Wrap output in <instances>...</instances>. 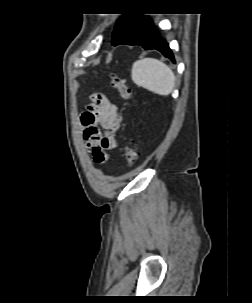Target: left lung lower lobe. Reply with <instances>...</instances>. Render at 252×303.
<instances>
[{
  "mask_svg": "<svg viewBox=\"0 0 252 303\" xmlns=\"http://www.w3.org/2000/svg\"><path fill=\"white\" fill-rule=\"evenodd\" d=\"M119 44L139 45L146 50H158L172 62H175L168 44L154 31V25L148 17H144L135 28L116 45Z\"/></svg>",
  "mask_w": 252,
  "mask_h": 303,
  "instance_id": "0a47b994",
  "label": "left lung lower lobe"
}]
</instances>
